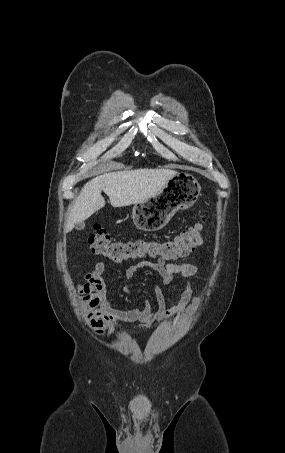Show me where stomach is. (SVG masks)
Here are the masks:
<instances>
[{
  "label": "stomach",
  "instance_id": "stomach-1",
  "mask_svg": "<svg viewBox=\"0 0 285 453\" xmlns=\"http://www.w3.org/2000/svg\"><path fill=\"white\" fill-rule=\"evenodd\" d=\"M196 178L186 172L176 173L154 196L134 205L132 219L143 231L164 228L178 210L191 207L200 194Z\"/></svg>",
  "mask_w": 285,
  "mask_h": 453
}]
</instances>
